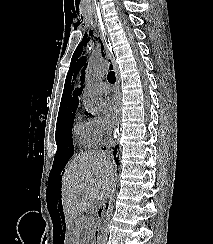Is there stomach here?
<instances>
[{
    "mask_svg": "<svg viewBox=\"0 0 213 244\" xmlns=\"http://www.w3.org/2000/svg\"><path fill=\"white\" fill-rule=\"evenodd\" d=\"M80 225L79 221H70L69 223H65V228L67 230V239H63V244H74V239H80L81 230L78 229Z\"/></svg>",
    "mask_w": 213,
    "mask_h": 244,
    "instance_id": "0dacf381",
    "label": "stomach"
}]
</instances>
